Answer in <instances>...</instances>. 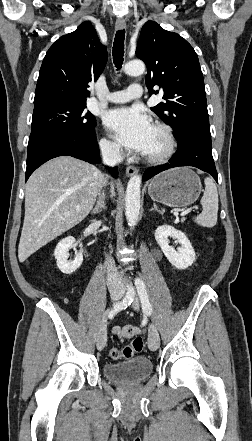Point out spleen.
Returning a JSON list of instances; mask_svg holds the SVG:
<instances>
[{"label":"spleen","mask_w":252,"mask_h":441,"mask_svg":"<svg viewBox=\"0 0 252 441\" xmlns=\"http://www.w3.org/2000/svg\"><path fill=\"white\" fill-rule=\"evenodd\" d=\"M205 191L201 198L203 211L195 218V222L203 227L211 228L217 223L218 192L215 183L209 177L204 180Z\"/></svg>","instance_id":"1"}]
</instances>
